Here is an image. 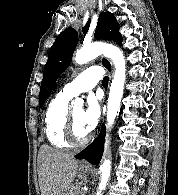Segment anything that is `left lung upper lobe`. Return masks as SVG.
I'll list each match as a JSON object with an SVG mask.
<instances>
[{
	"instance_id": "obj_1",
	"label": "left lung upper lobe",
	"mask_w": 178,
	"mask_h": 195,
	"mask_svg": "<svg viewBox=\"0 0 178 195\" xmlns=\"http://www.w3.org/2000/svg\"><path fill=\"white\" fill-rule=\"evenodd\" d=\"M89 25L90 20L83 27L82 31L84 34L88 31ZM94 36L97 39L113 40L119 45L122 44L123 39L119 34V25L111 12H103L100 14ZM77 43V31L73 28H67L58 35L50 48L40 87V106L44 104L50 95L55 80L69 66Z\"/></svg>"
}]
</instances>
